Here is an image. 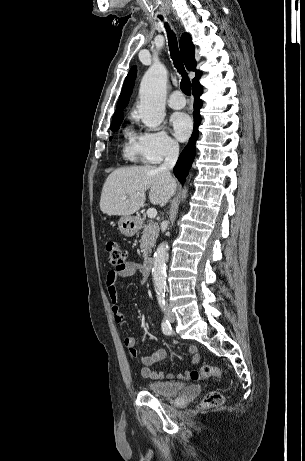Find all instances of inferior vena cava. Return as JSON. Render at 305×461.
Here are the masks:
<instances>
[{"label":"inferior vena cava","mask_w":305,"mask_h":461,"mask_svg":"<svg viewBox=\"0 0 305 461\" xmlns=\"http://www.w3.org/2000/svg\"><path fill=\"white\" fill-rule=\"evenodd\" d=\"M165 160L160 165L159 170L170 176V170L175 166L179 156V145L177 143H168L165 148Z\"/></svg>","instance_id":"inferior-vena-cava-1"}]
</instances>
